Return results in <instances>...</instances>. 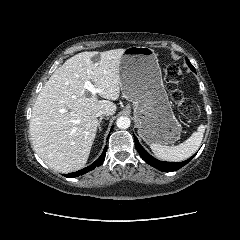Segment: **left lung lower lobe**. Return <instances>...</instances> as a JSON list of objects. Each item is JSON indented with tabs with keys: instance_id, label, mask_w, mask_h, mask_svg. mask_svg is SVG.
Wrapping results in <instances>:
<instances>
[{
	"instance_id": "obj_1",
	"label": "left lung lower lobe",
	"mask_w": 240,
	"mask_h": 240,
	"mask_svg": "<svg viewBox=\"0 0 240 240\" xmlns=\"http://www.w3.org/2000/svg\"><path fill=\"white\" fill-rule=\"evenodd\" d=\"M135 139V146L137 151L139 152L141 158L148 163L149 165L155 167L156 169L163 171V172H170V171H176L183 167L185 164H187L194 156L189 158L186 161L179 162V163H171V162H163L155 159L152 157L139 143L137 137L134 136Z\"/></svg>"
}]
</instances>
